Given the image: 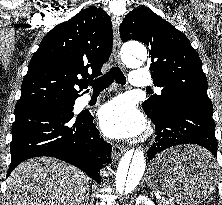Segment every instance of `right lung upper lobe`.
Returning a JSON list of instances; mask_svg holds the SVG:
<instances>
[{"instance_id": "obj_1", "label": "right lung upper lobe", "mask_w": 222, "mask_h": 205, "mask_svg": "<svg viewBox=\"0 0 222 205\" xmlns=\"http://www.w3.org/2000/svg\"><path fill=\"white\" fill-rule=\"evenodd\" d=\"M112 43L111 19L102 8L91 6L58 24L32 56L16 107L75 101L87 78L101 75Z\"/></svg>"}]
</instances>
